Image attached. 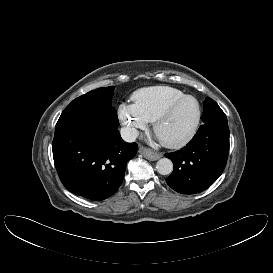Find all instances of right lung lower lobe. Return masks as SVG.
I'll return each mask as SVG.
<instances>
[{
    "label": "right lung lower lobe",
    "mask_w": 273,
    "mask_h": 273,
    "mask_svg": "<svg viewBox=\"0 0 273 273\" xmlns=\"http://www.w3.org/2000/svg\"><path fill=\"white\" fill-rule=\"evenodd\" d=\"M52 150L66 189L99 201L117 191L137 144L123 141L117 127L78 122L55 129Z\"/></svg>",
    "instance_id": "obj_1"
}]
</instances>
